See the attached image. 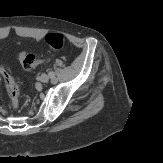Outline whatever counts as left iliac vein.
Returning <instances> with one entry per match:
<instances>
[{"label": "left iliac vein", "instance_id": "1", "mask_svg": "<svg viewBox=\"0 0 163 163\" xmlns=\"http://www.w3.org/2000/svg\"><path fill=\"white\" fill-rule=\"evenodd\" d=\"M39 80L42 83H47L49 81V76L47 74L43 73L40 75Z\"/></svg>", "mask_w": 163, "mask_h": 163}]
</instances>
